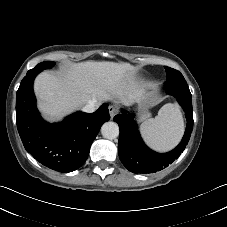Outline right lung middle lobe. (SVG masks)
I'll return each mask as SVG.
<instances>
[{"mask_svg":"<svg viewBox=\"0 0 227 227\" xmlns=\"http://www.w3.org/2000/svg\"><path fill=\"white\" fill-rule=\"evenodd\" d=\"M54 65H55L54 62L45 61V62H42V63L36 65V67L33 68V69H31V70H32V71H33V70H40V71H42V70H44V69L51 68V67H53Z\"/></svg>","mask_w":227,"mask_h":227,"instance_id":"dd1d6c3e","label":"right lung middle lobe"}]
</instances>
